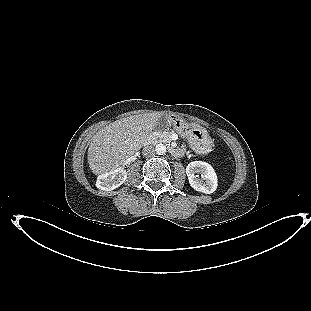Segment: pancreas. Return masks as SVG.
Masks as SVG:
<instances>
[{"label":"pancreas","instance_id":"obj_1","mask_svg":"<svg viewBox=\"0 0 311 311\" xmlns=\"http://www.w3.org/2000/svg\"><path fill=\"white\" fill-rule=\"evenodd\" d=\"M173 131H157L153 135V141L159 139V142H171V134Z\"/></svg>","mask_w":311,"mask_h":311}]
</instances>
